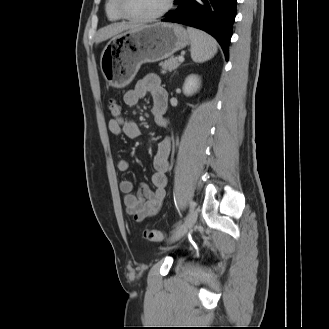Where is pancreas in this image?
I'll return each mask as SVG.
<instances>
[{
	"label": "pancreas",
	"mask_w": 329,
	"mask_h": 329,
	"mask_svg": "<svg viewBox=\"0 0 329 329\" xmlns=\"http://www.w3.org/2000/svg\"><path fill=\"white\" fill-rule=\"evenodd\" d=\"M159 65L162 68L161 73L165 74L167 71L171 72L172 70L176 69L180 65V62L178 57H171L168 60L161 62Z\"/></svg>",
	"instance_id": "pancreas-1"
}]
</instances>
